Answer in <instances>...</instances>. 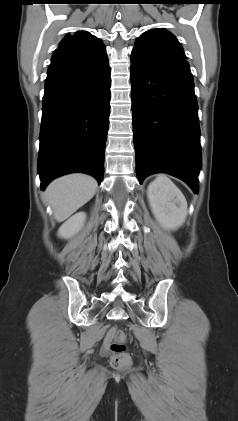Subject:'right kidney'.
Returning <instances> with one entry per match:
<instances>
[{
  "label": "right kidney",
  "mask_w": 238,
  "mask_h": 421,
  "mask_svg": "<svg viewBox=\"0 0 238 421\" xmlns=\"http://www.w3.org/2000/svg\"><path fill=\"white\" fill-rule=\"evenodd\" d=\"M86 214L79 212L70 217L58 230V236L69 239L78 233L84 225Z\"/></svg>",
  "instance_id": "ca27d5eb"
}]
</instances>
